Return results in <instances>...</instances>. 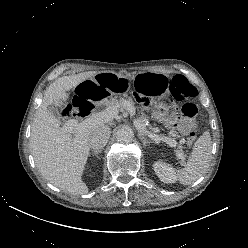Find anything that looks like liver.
<instances>
[{"label": "liver", "instance_id": "obj_1", "mask_svg": "<svg viewBox=\"0 0 248 248\" xmlns=\"http://www.w3.org/2000/svg\"><path fill=\"white\" fill-rule=\"evenodd\" d=\"M97 71L63 76L45 91L31 126L30 147L41 175L54 186L75 195L88 193L82 174L89 156V137L110 122L91 125L80 132L69 133L48 110L49 105L61 107L69 99L67 91L94 77Z\"/></svg>", "mask_w": 248, "mask_h": 248}]
</instances>
